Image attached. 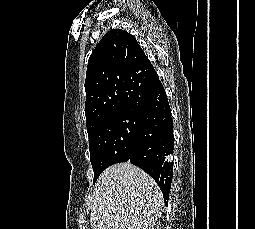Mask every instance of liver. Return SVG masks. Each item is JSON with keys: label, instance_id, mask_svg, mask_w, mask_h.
<instances>
[{"label": "liver", "instance_id": "1", "mask_svg": "<svg viewBox=\"0 0 255 229\" xmlns=\"http://www.w3.org/2000/svg\"><path fill=\"white\" fill-rule=\"evenodd\" d=\"M162 207V192L146 172L131 163L115 164L95 184L91 229H154Z\"/></svg>", "mask_w": 255, "mask_h": 229}]
</instances>
